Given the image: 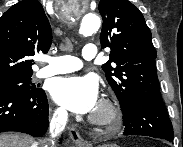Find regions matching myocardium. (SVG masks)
Returning a JSON list of instances; mask_svg holds the SVG:
<instances>
[{"mask_svg": "<svg viewBox=\"0 0 183 147\" xmlns=\"http://www.w3.org/2000/svg\"><path fill=\"white\" fill-rule=\"evenodd\" d=\"M121 109L116 101L104 97L100 100L97 109L90 116L89 121L96 126H109L121 122Z\"/></svg>", "mask_w": 183, "mask_h": 147, "instance_id": "1", "label": "myocardium"}]
</instances>
